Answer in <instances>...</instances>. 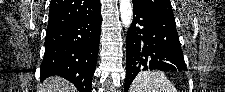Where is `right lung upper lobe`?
Listing matches in <instances>:
<instances>
[{
    "instance_id": "right-lung-upper-lobe-1",
    "label": "right lung upper lobe",
    "mask_w": 225,
    "mask_h": 92,
    "mask_svg": "<svg viewBox=\"0 0 225 92\" xmlns=\"http://www.w3.org/2000/svg\"><path fill=\"white\" fill-rule=\"evenodd\" d=\"M100 12V0H51L47 30L93 17Z\"/></svg>"
}]
</instances>
